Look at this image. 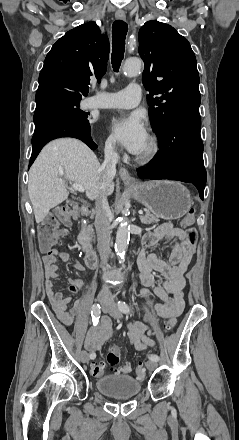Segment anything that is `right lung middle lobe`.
<instances>
[{
	"instance_id": "right-lung-middle-lobe-1",
	"label": "right lung middle lobe",
	"mask_w": 239,
	"mask_h": 440,
	"mask_svg": "<svg viewBox=\"0 0 239 440\" xmlns=\"http://www.w3.org/2000/svg\"><path fill=\"white\" fill-rule=\"evenodd\" d=\"M81 99H82L81 97H71V96L50 97L41 100L39 102H36V110L45 107L60 108L65 112H67L72 117L76 118L77 120L83 122H89L87 120L88 113H84L82 110L78 108Z\"/></svg>"
}]
</instances>
